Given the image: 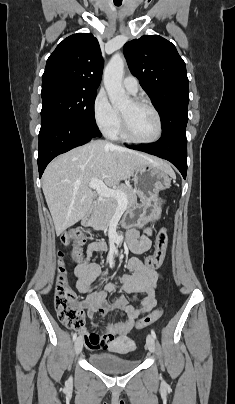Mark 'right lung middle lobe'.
I'll list each match as a JSON object with an SVG mask.
<instances>
[{"mask_svg": "<svg viewBox=\"0 0 235 404\" xmlns=\"http://www.w3.org/2000/svg\"><path fill=\"white\" fill-rule=\"evenodd\" d=\"M41 124L63 120L96 127L94 101L96 91L65 84L42 85Z\"/></svg>", "mask_w": 235, "mask_h": 404, "instance_id": "1", "label": "right lung middle lobe"}]
</instances>
